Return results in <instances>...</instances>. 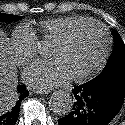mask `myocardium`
Masks as SVG:
<instances>
[{"label":"myocardium","mask_w":125,"mask_h":125,"mask_svg":"<svg viewBox=\"0 0 125 125\" xmlns=\"http://www.w3.org/2000/svg\"><path fill=\"white\" fill-rule=\"evenodd\" d=\"M86 25H95L102 31L104 38H105L104 47H103V51H102L100 60L95 65V67H93L90 71H88L84 74L71 77V79L75 82L87 81V80L91 79L92 77L96 76L98 73H100L102 71V69L104 68V66L107 63V60L109 58L110 47H111V34H110L109 29L103 23H101L95 19H87V20L81 21L79 23H76V24L70 26L68 29H66L60 36H58L53 41L54 44H63L71 38V36L75 33L76 30H78L79 28L86 26Z\"/></svg>","instance_id":"1"}]
</instances>
